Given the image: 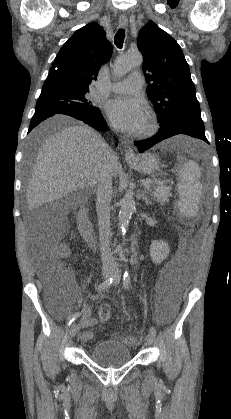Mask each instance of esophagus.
<instances>
[{
	"instance_id": "obj_1",
	"label": "esophagus",
	"mask_w": 231,
	"mask_h": 419,
	"mask_svg": "<svg viewBox=\"0 0 231 419\" xmlns=\"http://www.w3.org/2000/svg\"><path fill=\"white\" fill-rule=\"evenodd\" d=\"M127 22H128V20L125 16H121L119 18L120 25L125 26V25H127ZM135 158H136V154H135L134 150L131 147L126 148L125 149V159L127 161H131V160H134Z\"/></svg>"
}]
</instances>
